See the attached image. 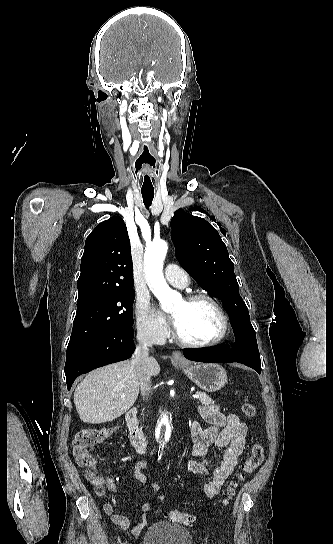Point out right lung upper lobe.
Listing matches in <instances>:
<instances>
[{"instance_id":"right-lung-upper-lobe-1","label":"right lung upper lobe","mask_w":333,"mask_h":544,"mask_svg":"<svg viewBox=\"0 0 333 544\" xmlns=\"http://www.w3.org/2000/svg\"><path fill=\"white\" fill-rule=\"evenodd\" d=\"M78 279V300L116 290H133V264L122 218L101 222L85 242Z\"/></svg>"}]
</instances>
